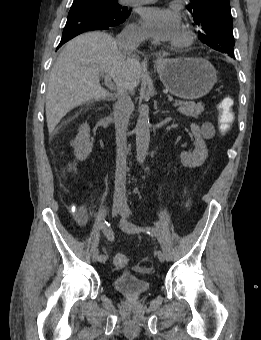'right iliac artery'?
<instances>
[{
  "label": "right iliac artery",
  "instance_id": "82829eb1",
  "mask_svg": "<svg viewBox=\"0 0 261 340\" xmlns=\"http://www.w3.org/2000/svg\"><path fill=\"white\" fill-rule=\"evenodd\" d=\"M101 230L104 234V236L109 240V241H113L114 240V233L112 231V228L110 226V224L107 221H103L101 223ZM108 260V256L105 254H100L98 257V261L102 264H105Z\"/></svg>",
  "mask_w": 261,
  "mask_h": 340
}]
</instances>
